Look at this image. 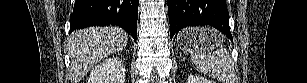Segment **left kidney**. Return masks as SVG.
<instances>
[{"mask_svg":"<svg viewBox=\"0 0 307 83\" xmlns=\"http://www.w3.org/2000/svg\"><path fill=\"white\" fill-rule=\"evenodd\" d=\"M186 83H212V81L201 76L190 75Z\"/></svg>","mask_w":307,"mask_h":83,"instance_id":"5707ae66","label":"left kidney"}]
</instances>
